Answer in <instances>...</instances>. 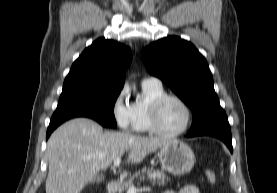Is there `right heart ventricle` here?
Returning a JSON list of instances; mask_svg holds the SVG:
<instances>
[{
	"label": "right heart ventricle",
	"mask_w": 277,
	"mask_h": 193,
	"mask_svg": "<svg viewBox=\"0 0 277 193\" xmlns=\"http://www.w3.org/2000/svg\"><path fill=\"white\" fill-rule=\"evenodd\" d=\"M144 99L132 104L133 130L140 133L151 132L148 108L150 103L158 96L164 94L163 87L142 86Z\"/></svg>",
	"instance_id": "right-heart-ventricle-1"
}]
</instances>
